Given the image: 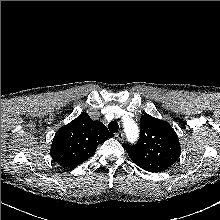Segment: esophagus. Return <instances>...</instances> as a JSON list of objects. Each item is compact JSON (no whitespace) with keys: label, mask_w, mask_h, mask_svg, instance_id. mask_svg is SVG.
<instances>
[{"label":"esophagus","mask_w":220,"mask_h":220,"mask_svg":"<svg viewBox=\"0 0 220 220\" xmlns=\"http://www.w3.org/2000/svg\"><path fill=\"white\" fill-rule=\"evenodd\" d=\"M114 135L118 140H120V141L124 140V133L123 132H117Z\"/></svg>","instance_id":"1"}]
</instances>
